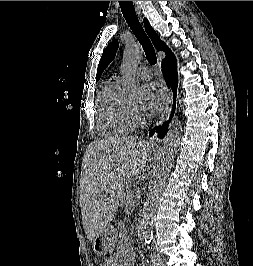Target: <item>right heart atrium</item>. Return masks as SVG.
<instances>
[{
  "instance_id": "1",
  "label": "right heart atrium",
  "mask_w": 253,
  "mask_h": 266,
  "mask_svg": "<svg viewBox=\"0 0 253 266\" xmlns=\"http://www.w3.org/2000/svg\"><path fill=\"white\" fill-rule=\"evenodd\" d=\"M133 116L136 123H141L145 119L144 115L138 110H133Z\"/></svg>"
}]
</instances>
